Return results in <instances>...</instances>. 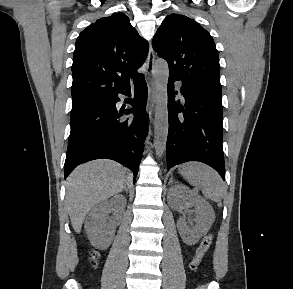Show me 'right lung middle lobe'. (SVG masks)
<instances>
[{"mask_svg":"<svg viewBox=\"0 0 293 289\" xmlns=\"http://www.w3.org/2000/svg\"><path fill=\"white\" fill-rule=\"evenodd\" d=\"M101 101L102 100H93V101H87V102L73 104L72 110H71V116L78 114V113H81V112L95 106L96 104H98Z\"/></svg>","mask_w":293,"mask_h":289,"instance_id":"1","label":"right lung middle lobe"}]
</instances>
